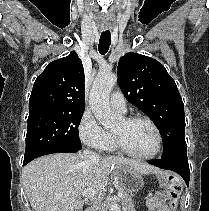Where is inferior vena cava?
<instances>
[{
    "label": "inferior vena cava",
    "mask_w": 209,
    "mask_h": 211,
    "mask_svg": "<svg viewBox=\"0 0 209 211\" xmlns=\"http://www.w3.org/2000/svg\"><path fill=\"white\" fill-rule=\"evenodd\" d=\"M83 156H84L87 160H89V161H91V162L96 161V160L99 159V155H98V154H96L95 152H93V151H91V150H88V149H85V150L83 151Z\"/></svg>",
    "instance_id": "inferior-vena-cava-1"
}]
</instances>
